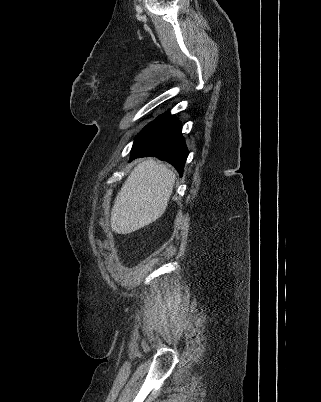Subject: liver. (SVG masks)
<instances>
[{
  "mask_svg": "<svg viewBox=\"0 0 321 402\" xmlns=\"http://www.w3.org/2000/svg\"><path fill=\"white\" fill-rule=\"evenodd\" d=\"M175 179L166 165L154 159L139 163L115 198L112 231L129 234L160 218L168 206Z\"/></svg>",
  "mask_w": 321,
  "mask_h": 402,
  "instance_id": "6515ba94",
  "label": "liver"
}]
</instances>
